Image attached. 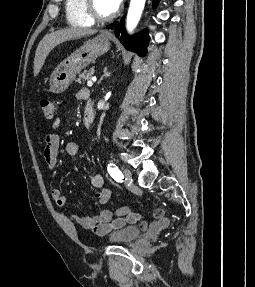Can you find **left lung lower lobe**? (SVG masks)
Masks as SVG:
<instances>
[{"label": "left lung lower lobe", "mask_w": 255, "mask_h": 287, "mask_svg": "<svg viewBox=\"0 0 255 287\" xmlns=\"http://www.w3.org/2000/svg\"><path fill=\"white\" fill-rule=\"evenodd\" d=\"M159 0H153V6H156ZM107 28H115L114 33L116 37H119L120 32L122 33L120 40L122 44L129 50L137 53L140 56H145L147 53V43L149 40L148 34L146 31L139 33L137 35L128 38L124 29V19H121L120 24L118 22H114L111 25L107 26Z\"/></svg>", "instance_id": "left-lung-lower-lobe-1"}]
</instances>
